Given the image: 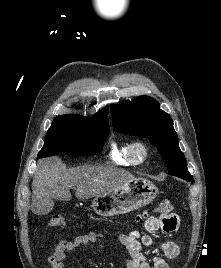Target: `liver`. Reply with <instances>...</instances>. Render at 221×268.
Segmentation results:
<instances>
[{
    "label": "liver",
    "mask_w": 221,
    "mask_h": 268,
    "mask_svg": "<svg viewBox=\"0 0 221 268\" xmlns=\"http://www.w3.org/2000/svg\"><path fill=\"white\" fill-rule=\"evenodd\" d=\"M135 179L123 169L113 166H91L68 169L58 157L38 162L32 183L31 210L37 215L48 214L54 207V199L71 200L70 189L77 187L78 199H89L112 191Z\"/></svg>",
    "instance_id": "6515ba94"
}]
</instances>
